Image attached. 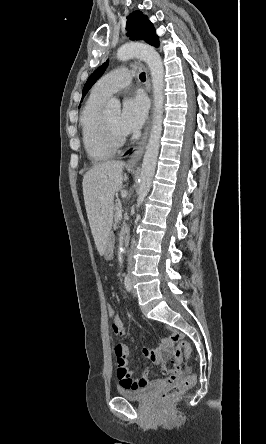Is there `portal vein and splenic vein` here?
<instances>
[{"label": "portal vein and splenic vein", "instance_id": "1", "mask_svg": "<svg viewBox=\"0 0 266 444\" xmlns=\"http://www.w3.org/2000/svg\"><path fill=\"white\" fill-rule=\"evenodd\" d=\"M117 217H118V219H122V212H121V210H119L117 212Z\"/></svg>", "mask_w": 266, "mask_h": 444}]
</instances>
